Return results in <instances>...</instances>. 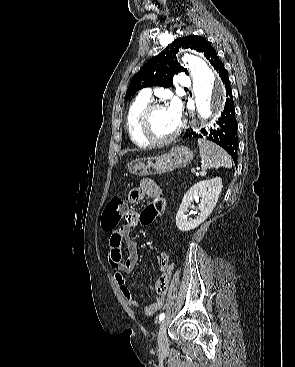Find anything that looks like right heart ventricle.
I'll return each instance as SVG.
<instances>
[{
  "instance_id": "right-heart-ventricle-1",
  "label": "right heart ventricle",
  "mask_w": 295,
  "mask_h": 367,
  "mask_svg": "<svg viewBox=\"0 0 295 367\" xmlns=\"http://www.w3.org/2000/svg\"><path fill=\"white\" fill-rule=\"evenodd\" d=\"M149 104V100L136 98L129 106L126 114V129L131 141L140 148L149 147L151 144L146 141L139 131V119L144 108Z\"/></svg>"
}]
</instances>
